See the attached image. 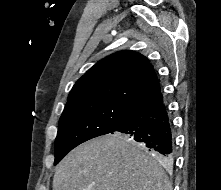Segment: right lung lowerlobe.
Here are the masks:
<instances>
[{
    "label": "right lung lower lobe",
    "instance_id": "right-lung-lower-lobe-1",
    "mask_svg": "<svg viewBox=\"0 0 221 190\" xmlns=\"http://www.w3.org/2000/svg\"><path fill=\"white\" fill-rule=\"evenodd\" d=\"M114 132L132 136L165 162L174 158L173 124L162 91L135 106Z\"/></svg>",
    "mask_w": 221,
    "mask_h": 190
}]
</instances>
